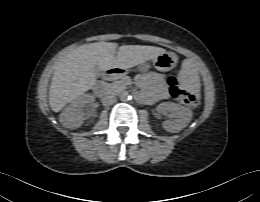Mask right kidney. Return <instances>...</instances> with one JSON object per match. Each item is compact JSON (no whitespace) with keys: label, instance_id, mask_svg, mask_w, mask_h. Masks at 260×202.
Listing matches in <instances>:
<instances>
[{"label":"right kidney","instance_id":"1","mask_svg":"<svg viewBox=\"0 0 260 202\" xmlns=\"http://www.w3.org/2000/svg\"><path fill=\"white\" fill-rule=\"evenodd\" d=\"M93 101L94 97L91 94H84L77 98L60 114L61 124L64 127L71 129L80 127L85 116L83 107L87 104H91Z\"/></svg>","mask_w":260,"mask_h":202}]
</instances>
